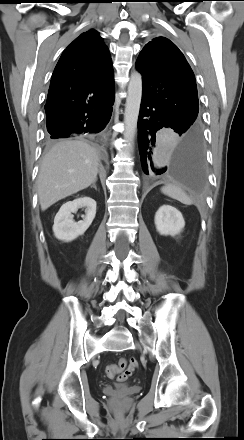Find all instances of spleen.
I'll use <instances>...</instances> for the list:
<instances>
[{
    "label": "spleen",
    "mask_w": 244,
    "mask_h": 440,
    "mask_svg": "<svg viewBox=\"0 0 244 440\" xmlns=\"http://www.w3.org/2000/svg\"><path fill=\"white\" fill-rule=\"evenodd\" d=\"M161 192L185 205L193 204L192 199L178 185L167 184L161 188Z\"/></svg>",
    "instance_id": "3e777b00"
}]
</instances>
